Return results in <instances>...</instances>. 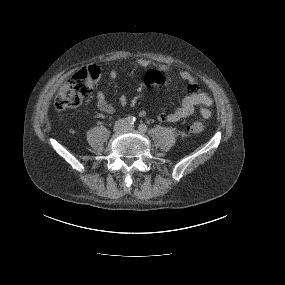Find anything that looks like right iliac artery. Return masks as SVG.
<instances>
[{
  "label": "right iliac artery",
  "instance_id": "right-iliac-artery-1",
  "mask_svg": "<svg viewBox=\"0 0 285 285\" xmlns=\"http://www.w3.org/2000/svg\"><path fill=\"white\" fill-rule=\"evenodd\" d=\"M126 121H127V123L128 124H134V122H135V117H133V116H128L127 118H126Z\"/></svg>",
  "mask_w": 285,
  "mask_h": 285
}]
</instances>
